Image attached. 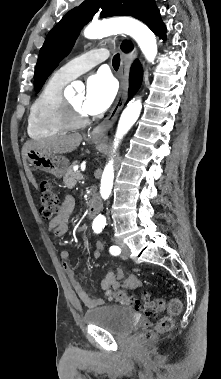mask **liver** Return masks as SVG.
<instances>
[{"label":"liver","mask_w":221,"mask_h":379,"mask_svg":"<svg viewBox=\"0 0 221 379\" xmlns=\"http://www.w3.org/2000/svg\"><path fill=\"white\" fill-rule=\"evenodd\" d=\"M82 136L79 133L64 136L51 137L44 140H29L22 147V158L28 178L34 183L31 172L26 163L27 153L30 150L41 151L46 154H66L74 151L81 143Z\"/></svg>","instance_id":"liver-1"}]
</instances>
